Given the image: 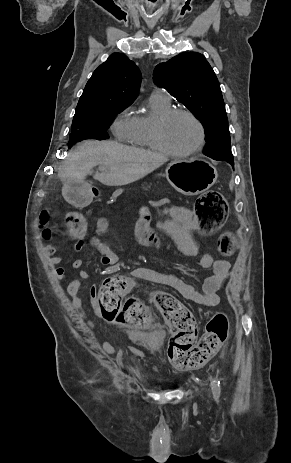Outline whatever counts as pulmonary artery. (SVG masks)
<instances>
[{
    "mask_svg": "<svg viewBox=\"0 0 291 463\" xmlns=\"http://www.w3.org/2000/svg\"><path fill=\"white\" fill-rule=\"evenodd\" d=\"M153 93L158 94L160 97H162L166 101L170 100V97H169L168 93L165 90L156 89V90H154Z\"/></svg>",
    "mask_w": 291,
    "mask_h": 463,
    "instance_id": "e3ab8cb5",
    "label": "pulmonary artery"
}]
</instances>
